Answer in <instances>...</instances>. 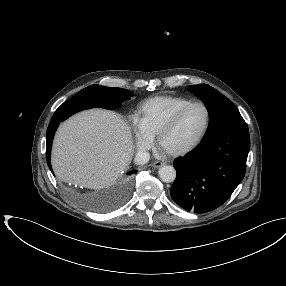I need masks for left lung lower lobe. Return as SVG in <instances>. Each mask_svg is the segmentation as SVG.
Wrapping results in <instances>:
<instances>
[{
	"label": "left lung lower lobe",
	"instance_id": "left-lung-lower-lobe-1",
	"mask_svg": "<svg viewBox=\"0 0 286 286\" xmlns=\"http://www.w3.org/2000/svg\"><path fill=\"white\" fill-rule=\"evenodd\" d=\"M250 149L248 130L220 131L174 161L172 199L187 211L206 213L221 206L242 181Z\"/></svg>",
	"mask_w": 286,
	"mask_h": 286
}]
</instances>
